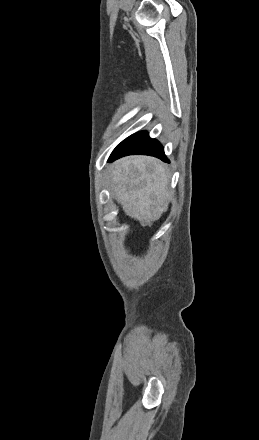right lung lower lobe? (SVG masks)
<instances>
[{
    "mask_svg": "<svg viewBox=\"0 0 259 440\" xmlns=\"http://www.w3.org/2000/svg\"><path fill=\"white\" fill-rule=\"evenodd\" d=\"M132 154L151 155L169 162L162 145L156 139H151L147 132H137L122 141L110 155L109 162Z\"/></svg>",
    "mask_w": 259,
    "mask_h": 440,
    "instance_id": "obj_1",
    "label": "right lung lower lobe"
}]
</instances>
